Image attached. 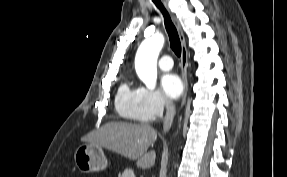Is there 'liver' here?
Returning <instances> with one entry per match:
<instances>
[{"mask_svg": "<svg viewBox=\"0 0 287 177\" xmlns=\"http://www.w3.org/2000/svg\"><path fill=\"white\" fill-rule=\"evenodd\" d=\"M156 139V130L148 124L108 122L81 140L136 160L138 167L148 169L155 164L156 153L147 150Z\"/></svg>", "mask_w": 287, "mask_h": 177, "instance_id": "1", "label": "liver"}]
</instances>
